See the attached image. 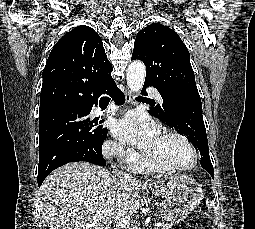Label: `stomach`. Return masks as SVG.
<instances>
[{"label": "stomach", "instance_id": "1", "mask_svg": "<svg viewBox=\"0 0 255 229\" xmlns=\"http://www.w3.org/2000/svg\"><path fill=\"white\" fill-rule=\"evenodd\" d=\"M148 190L164 199L160 218L172 224L183 221L204 197L202 187L186 175L174 176L164 184L149 186Z\"/></svg>", "mask_w": 255, "mask_h": 229}]
</instances>
